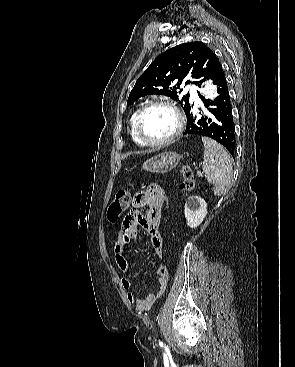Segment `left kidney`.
Masks as SVG:
<instances>
[{"label":"left kidney","mask_w":295,"mask_h":367,"mask_svg":"<svg viewBox=\"0 0 295 367\" xmlns=\"http://www.w3.org/2000/svg\"><path fill=\"white\" fill-rule=\"evenodd\" d=\"M185 218L191 228L199 226L207 215V203L198 196H190L185 203Z\"/></svg>","instance_id":"1"}]
</instances>
